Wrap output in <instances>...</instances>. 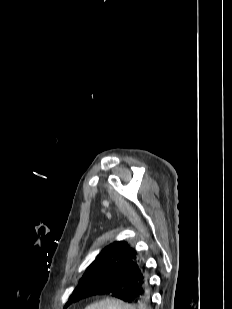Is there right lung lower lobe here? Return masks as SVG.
<instances>
[{
  "label": "right lung lower lobe",
  "instance_id": "98d812e1",
  "mask_svg": "<svg viewBox=\"0 0 232 309\" xmlns=\"http://www.w3.org/2000/svg\"><path fill=\"white\" fill-rule=\"evenodd\" d=\"M117 273L132 275V279L117 280L114 283L90 286L86 297L111 294L125 302L132 303L136 309H150V285L145 274V267L137 262L121 264Z\"/></svg>",
  "mask_w": 232,
  "mask_h": 309
}]
</instances>
